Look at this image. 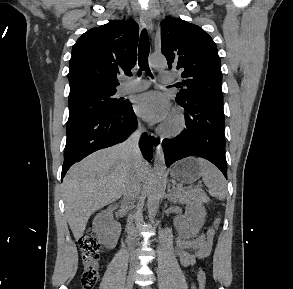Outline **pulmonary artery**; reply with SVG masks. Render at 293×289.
<instances>
[{"label":"pulmonary artery","mask_w":293,"mask_h":289,"mask_svg":"<svg viewBox=\"0 0 293 289\" xmlns=\"http://www.w3.org/2000/svg\"><path fill=\"white\" fill-rule=\"evenodd\" d=\"M159 81L162 83H169L173 81V74L169 71H163L160 73ZM150 82L146 79H130L128 80L122 89L123 93H132L145 90L149 87Z\"/></svg>","instance_id":"pulmonary-artery-1"}]
</instances>
